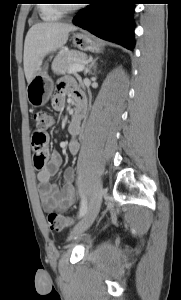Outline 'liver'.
I'll use <instances>...</instances> for the list:
<instances>
[{
    "mask_svg": "<svg viewBox=\"0 0 181 300\" xmlns=\"http://www.w3.org/2000/svg\"><path fill=\"white\" fill-rule=\"evenodd\" d=\"M77 27L65 23H38L33 25L24 43V72L28 83L36 75L43 58L59 48H62L71 31Z\"/></svg>",
    "mask_w": 181,
    "mask_h": 300,
    "instance_id": "obj_1",
    "label": "liver"
}]
</instances>
